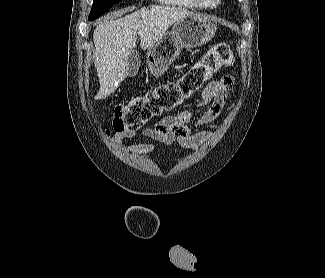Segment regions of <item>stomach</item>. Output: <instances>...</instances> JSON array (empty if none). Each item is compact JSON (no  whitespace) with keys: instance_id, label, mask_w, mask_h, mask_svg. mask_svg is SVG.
I'll return each instance as SVG.
<instances>
[{"instance_id":"1","label":"stomach","mask_w":325,"mask_h":278,"mask_svg":"<svg viewBox=\"0 0 325 278\" xmlns=\"http://www.w3.org/2000/svg\"><path fill=\"white\" fill-rule=\"evenodd\" d=\"M216 32V26L202 15H192L179 19L172 30L147 52V63L150 71L161 75L178 57L184 48H196L210 41Z\"/></svg>"}]
</instances>
